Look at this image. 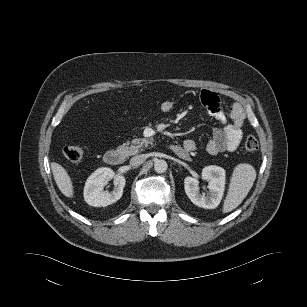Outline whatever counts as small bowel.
<instances>
[{
	"label": "small bowel",
	"mask_w": 307,
	"mask_h": 307,
	"mask_svg": "<svg viewBox=\"0 0 307 307\" xmlns=\"http://www.w3.org/2000/svg\"><path fill=\"white\" fill-rule=\"evenodd\" d=\"M203 105L208 110L209 114L220 123V127L216 128L212 134L211 139L206 145V150L211 155H216L220 152L236 150L242 139V125L245 119V113L242 105L239 102H233L230 110V120L228 123L225 113L222 110L220 98L212 93L205 91L201 94ZM174 109L172 101H164L161 104V110L169 113ZM196 142L192 139H187L182 146H174V152L186 157L188 154L196 150Z\"/></svg>",
	"instance_id": "obj_1"
}]
</instances>
